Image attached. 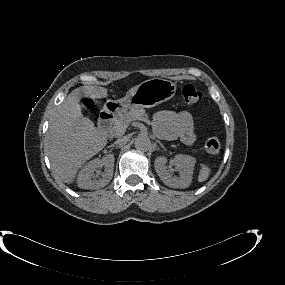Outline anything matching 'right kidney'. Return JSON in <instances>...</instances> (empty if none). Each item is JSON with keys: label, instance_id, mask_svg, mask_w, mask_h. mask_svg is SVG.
Instances as JSON below:
<instances>
[{"label": "right kidney", "instance_id": "right-kidney-1", "mask_svg": "<svg viewBox=\"0 0 285 285\" xmlns=\"http://www.w3.org/2000/svg\"><path fill=\"white\" fill-rule=\"evenodd\" d=\"M114 155L108 154L101 159H94L88 162L80 171L77 179L78 187L82 189L94 190L106 186L113 177ZM104 167L101 178L93 179L94 172Z\"/></svg>", "mask_w": 285, "mask_h": 285}]
</instances>
